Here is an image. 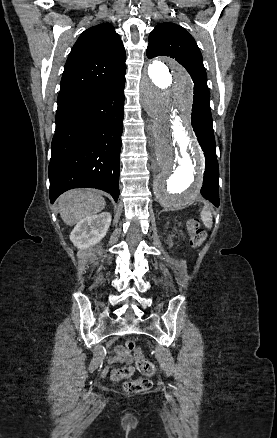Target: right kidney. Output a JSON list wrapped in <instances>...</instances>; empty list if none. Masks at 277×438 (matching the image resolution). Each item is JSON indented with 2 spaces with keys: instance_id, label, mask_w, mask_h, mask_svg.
Segmentation results:
<instances>
[{
  "instance_id": "right-kidney-1",
  "label": "right kidney",
  "mask_w": 277,
  "mask_h": 438,
  "mask_svg": "<svg viewBox=\"0 0 277 438\" xmlns=\"http://www.w3.org/2000/svg\"><path fill=\"white\" fill-rule=\"evenodd\" d=\"M111 214L102 212V214H93L86 216L81 222L76 224L70 234V240L79 250H85L90 246H95L106 236L109 226H111Z\"/></svg>"
}]
</instances>
